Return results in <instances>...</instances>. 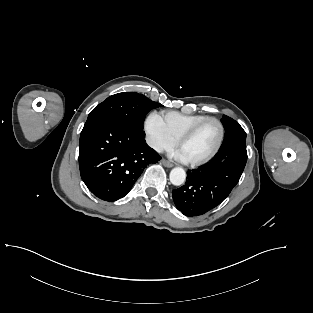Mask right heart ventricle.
Returning a JSON list of instances; mask_svg holds the SVG:
<instances>
[{
	"label": "right heart ventricle",
	"instance_id": "right-heart-ventricle-1",
	"mask_svg": "<svg viewBox=\"0 0 313 313\" xmlns=\"http://www.w3.org/2000/svg\"><path fill=\"white\" fill-rule=\"evenodd\" d=\"M168 134L176 141L185 131L207 118L205 115H188L168 111L159 115Z\"/></svg>",
	"mask_w": 313,
	"mask_h": 313
}]
</instances>
